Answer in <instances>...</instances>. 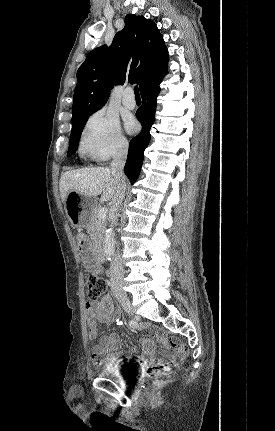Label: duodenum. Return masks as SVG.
<instances>
[{"label":"duodenum","mask_w":275,"mask_h":431,"mask_svg":"<svg viewBox=\"0 0 275 431\" xmlns=\"http://www.w3.org/2000/svg\"><path fill=\"white\" fill-rule=\"evenodd\" d=\"M94 251H95V259H96V261L98 263H102L105 260V254H104L102 248L98 246V247L95 248Z\"/></svg>","instance_id":"obj_1"}]
</instances>
